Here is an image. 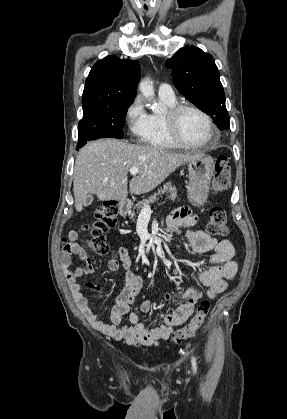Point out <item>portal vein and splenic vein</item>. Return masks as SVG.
<instances>
[{
    "label": "portal vein and splenic vein",
    "mask_w": 287,
    "mask_h": 419,
    "mask_svg": "<svg viewBox=\"0 0 287 419\" xmlns=\"http://www.w3.org/2000/svg\"><path fill=\"white\" fill-rule=\"evenodd\" d=\"M139 173V169L138 168H136V167H133V168H131L130 169V174L131 175H137ZM142 211L143 212H150L151 211V208H150V206L148 205V204H146V205H144V207L142 208Z\"/></svg>",
    "instance_id": "1"
}]
</instances>
